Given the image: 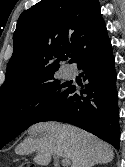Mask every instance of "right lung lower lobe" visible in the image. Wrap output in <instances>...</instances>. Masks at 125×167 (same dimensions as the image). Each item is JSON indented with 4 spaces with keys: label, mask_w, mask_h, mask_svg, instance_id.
Instances as JSON below:
<instances>
[{
    "label": "right lung lower lobe",
    "mask_w": 125,
    "mask_h": 167,
    "mask_svg": "<svg viewBox=\"0 0 125 167\" xmlns=\"http://www.w3.org/2000/svg\"><path fill=\"white\" fill-rule=\"evenodd\" d=\"M77 67L83 70L82 87L70 86L67 97L46 108L34 121H60L80 127L120 148L116 71L106 29L81 51Z\"/></svg>",
    "instance_id": "98d812e1"
}]
</instances>
